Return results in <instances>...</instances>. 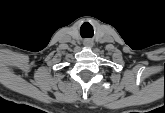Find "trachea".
Returning <instances> with one entry per match:
<instances>
[{"mask_svg":"<svg viewBox=\"0 0 165 113\" xmlns=\"http://www.w3.org/2000/svg\"><path fill=\"white\" fill-rule=\"evenodd\" d=\"M83 26H84V25H83ZM83 26L81 27V31H80V32H81V35H82V33H83ZM82 37H83V35H82Z\"/></svg>","mask_w":165,"mask_h":113,"instance_id":"obj_1","label":"trachea"}]
</instances>
